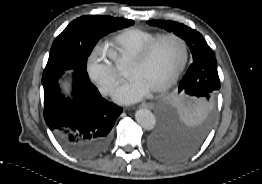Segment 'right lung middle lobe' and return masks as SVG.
Masks as SVG:
<instances>
[{
  "label": "right lung middle lobe",
  "mask_w": 262,
  "mask_h": 184,
  "mask_svg": "<svg viewBox=\"0 0 262 184\" xmlns=\"http://www.w3.org/2000/svg\"><path fill=\"white\" fill-rule=\"evenodd\" d=\"M132 24V20L109 16L89 15L75 19L54 40L43 76L68 69L87 73L86 60L98 40Z\"/></svg>",
  "instance_id": "obj_1"
}]
</instances>
